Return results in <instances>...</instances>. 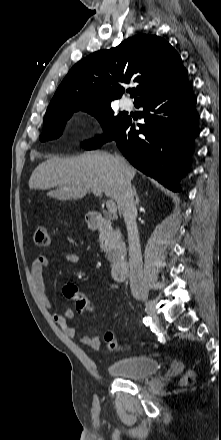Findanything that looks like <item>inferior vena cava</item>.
<instances>
[{"mask_svg":"<svg viewBox=\"0 0 221 440\" xmlns=\"http://www.w3.org/2000/svg\"><path fill=\"white\" fill-rule=\"evenodd\" d=\"M116 161L126 171L125 160L116 155ZM122 213L128 233L129 264H130V286L133 291L140 292L143 281L142 254L138 228L136 223L137 209L134 201L131 180L125 178L121 192Z\"/></svg>","mask_w":221,"mask_h":440,"instance_id":"inferior-vena-cava-1","label":"inferior vena cava"}]
</instances>
